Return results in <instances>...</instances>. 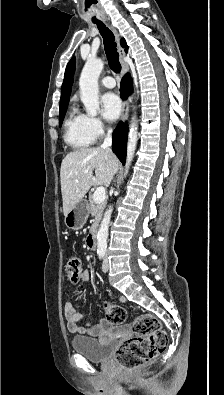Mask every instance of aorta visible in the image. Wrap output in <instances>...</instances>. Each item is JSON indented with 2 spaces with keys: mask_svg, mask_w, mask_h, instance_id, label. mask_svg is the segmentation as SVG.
Returning <instances> with one entry per match:
<instances>
[{
  "mask_svg": "<svg viewBox=\"0 0 224 395\" xmlns=\"http://www.w3.org/2000/svg\"><path fill=\"white\" fill-rule=\"evenodd\" d=\"M104 62L101 59H88L85 63L80 79V97L81 101L85 106L86 113L89 116H96L99 111V96H98V78L103 70ZM138 140L137 121L135 117L132 118V122L129 127L128 143H127V158L125 173H128L129 166L134 157ZM112 214V208L105 212L104 218L101 222L98 234H97V251L105 252L107 249L108 229Z\"/></svg>",
  "mask_w": 224,
  "mask_h": 395,
  "instance_id": "762f6f07",
  "label": "aorta"
}]
</instances>
